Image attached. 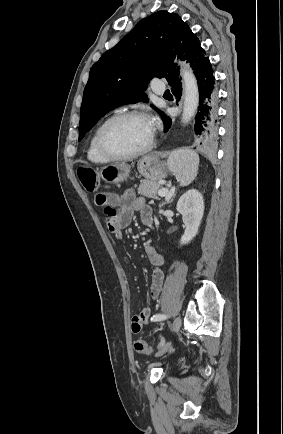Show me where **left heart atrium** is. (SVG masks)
I'll return each mask as SVG.
<instances>
[{
    "label": "left heart atrium",
    "mask_w": 283,
    "mask_h": 434,
    "mask_svg": "<svg viewBox=\"0 0 283 434\" xmlns=\"http://www.w3.org/2000/svg\"><path fill=\"white\" fill-rule=\"evenodd\" d=\"M149 125H150L151 130L153 131V129H154V124H153L152 122H149Z\"/></svg>",
    "instance_id": "obj_1"
}]
</instances>
